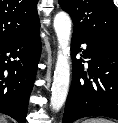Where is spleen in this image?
Wrapping results in <instances>:
<instances>
[{
  "label": "spleen",
  "instance_id": "3e777b00",
  "mask_svg": "<svg viewBox=\"0 0 118 123\" xmlns=\"http://www.w3.org/2000/svg\"><path fill=\"white\" fill-rule=\"evenodd\" d=\"M83 123H113V122L105 118H90V119L83 121Z\"/></svg>",
  "mask_w": 118,
  "mask_h": 123
}]
</instances>
